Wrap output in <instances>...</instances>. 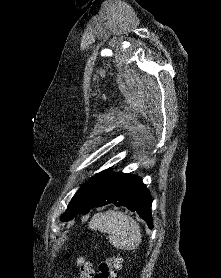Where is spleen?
Here are the masks:
<instances>
[{
  "instance_id": "obj_1",
  "label": "spleen",
  "mask_w": 221,
  "mask_h": 278,
  "mask_svg": "<svg viewBox=\"0 0 221 278\" xmlns=\"http://www.w3.org/2000/svg\"><path fill=\"white\" fill-rule=\"evenodd\" d=\"M89 228L107 233L109 242L117 249L133 250L141 243L139 225L120 211L108 210L94 215Z\"/></svg>"
}]
</instances>
